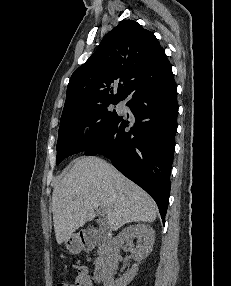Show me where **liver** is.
I'll return each instance as SVG.
<instances>
[{"instance_id": "obj_1", "label": "liver", "mask_w": 231, "mask_h": 286, "mask_svg": "<svg viewBox=\"0 0 231 286\" xmlns=\"http://www.w3.org/2000/svg\"><path fill=\"white\" fill-rule=\"evenodd\" d=\"M98 207L105 209L113 231L130 222H153L157 216L154 200L112 165L98 157H80L53 190L57 243L92 220Z\"/></svg>"}]
</instances>
